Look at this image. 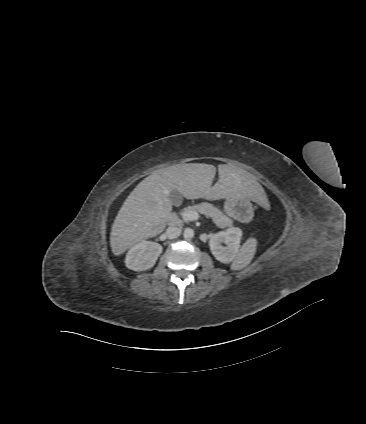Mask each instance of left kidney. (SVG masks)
Returning a JSON list of instances; mask_svg holds the SVG:
<instances>
[{
  "instance_id": "obj_1",
  "label": "left kidney",
  "mask_w": 366,
  "mask_h": 424,
  "mask_svg": "<svg viewBox=\"0 0 366 424\" xmlns=\"http://www.w3.org/2000/svg\"><path fill=\"white\" fill-rule=\"evenodd\" d=\"M242 231L238 228H230L220 231L211 236L209 241L213 256L220 262L228 264L232 262L240 248ZM226 246H222V244Z\"/></svg>"
}]
</instances>
